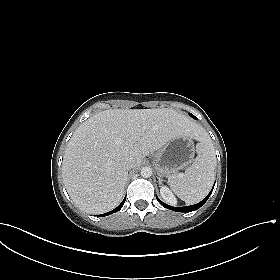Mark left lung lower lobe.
<instances>
[{
	"instance_id": "0a47b994",
	"label": "left lung lower lobe",
	"mask_w": 280,
	"mask_h": 280,
	"mask_svg": "<svg viewBox=\"0 0 280 280\" xmlns=\"http://www.w3.org/2000/svg\"><path fill=\"white\" fill-rule=\"evenodd\" d=\"M191 117L195 118V116H193L192 114H190ZM215 185V184H214ZM214 188V187H213ZM213 190V189H212ZM212 191L208 194V196L203 199L201 202L195 204V205H191V206H186V207H172V206H169L165 203H163L161 200H158V202L165 208L167 209H170V210H173V211H177V212H191V211H194V210H197L198 208H200L209 198V196L211 195Z\"/></svg>"
}]
</instances>
